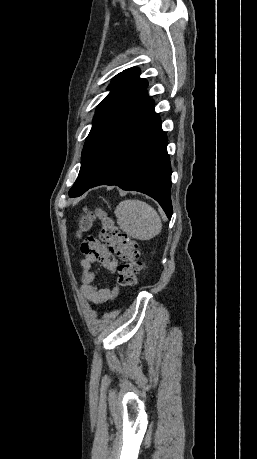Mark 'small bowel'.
Segmentation results:
<instances>
[{
  "instance_id": "small-bowel-1",
  "label": "small bowel",
  "mask_w": 257,
  "mask_h": 459,
  "mask_svg": "<svg viewBox=\"0 0 257 459\" xmlns=\"http://www.w3.org/2000/svg\"><path fill=\"white\" fill-rule=\"evenodd\" d=\"M81 252L83 254L80 260L81 293L94 304L113 301L119 293V286L102 287L97 282V278L103 270L114 273L117 268V260L108 248L97 240L83 243Z\"/></svg>"
}]
</instances>
